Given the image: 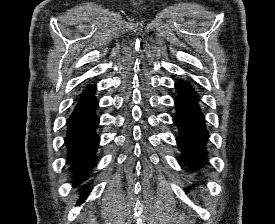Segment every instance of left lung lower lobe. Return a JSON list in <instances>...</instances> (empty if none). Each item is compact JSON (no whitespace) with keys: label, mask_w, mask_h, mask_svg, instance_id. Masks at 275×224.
<instances>
[{"label":"left lung lower lobe","mask_w":275,"mask_h":224,"mask_svg":"<svg viewBox=\"0 0 275 224\" xmlns=\"http://www.w3.org/2000/svg\"><path fill=\"white\" fill-rule=\"evenodd\" d=\"M175 88L179 94L175 99L177 107L173 122L179 135L176 138L185 163L193 170L202 168L207 157L208 131L198 103V96L186 81H178Z\"/></svg>","instance_id":"1"}]
</instances>
